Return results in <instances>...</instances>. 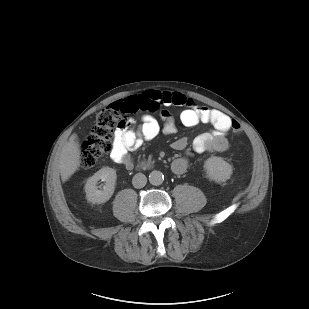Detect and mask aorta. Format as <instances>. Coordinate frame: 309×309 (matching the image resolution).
Returning <instances> with one entry per match:
<instances>
[{
  "label": "aorta",
  "instance_id": "obj_1",
  "mask_svg": "<svg viewBox=\"0 0 309 309\" xmlns=\"http://www.w3.org/2000/svg\"><path fill=\"white\" fill-rule=\"evenodd\" d=\"M164 181V175L162 174V172L154 170L149 174V182L152 185H161Z\"/></svg>",
  "mask_w": 309,
  "mask_h": 309
}]
</instances>
